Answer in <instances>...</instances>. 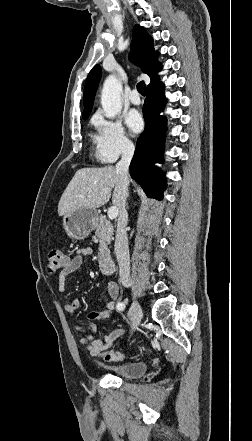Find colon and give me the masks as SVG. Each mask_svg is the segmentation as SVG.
Listing matches in <instances>:
<instances>
[{
	"label": "colon",
	"mask_w": 252,
	"mask_h": 441,
	"mask_svg": "<svg viewBox=\"0 0 252 441\" xmlns=\"http://www.w3.org/2000/svg\"><path fill=\"white\" fill-rule=\"evenodd\" d=\"M69 263L68 257L59 249H52L48 253L47 270L51 274L62 271ZM112 309L104 306V308L91 312L88 318L93 321L107 320L111 314ZM106 361H120L124 359V355L120 352H104L102 356Z\"/></svg>",
	"instance_id": "1"
}]
</instances>
